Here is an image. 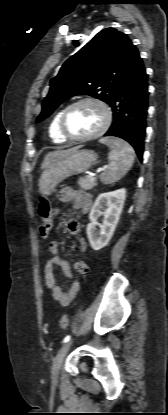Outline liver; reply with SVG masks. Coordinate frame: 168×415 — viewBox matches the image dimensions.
<instances>
[{
	"label": "liver",
	"instance_id": "1",
	"mask_svg": "<svg viewBox=\"0 0 168 415\" xmlns=\"http://www.w3.org/2000/svg\"><path fill=\"white\" fill-rule=\"evenodd\" d=\"M71 149L49 152L41 164V169H47L53 162L66 155Z\"/></svg>",
	"mask_w": 168,
	"mask_h": 415
}]
</instances>
